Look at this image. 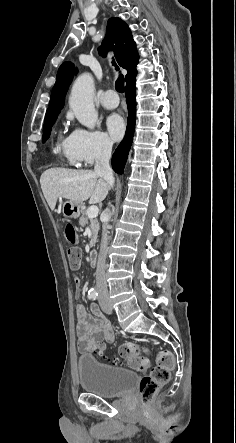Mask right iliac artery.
I'll list each match as a JSON object with an SVG mask.
<instances>
[{"label":"right iliac artery","instance_id":"1","mask_svg":"<svg viewBox=\"0 0 236 443\" xmlns=\"http://www.w3.org/2000/svg\"><path fill=\"white\" fill-rule=\"evenodd\" d=\"M97 297H98L97 290L94 289V288H91V289L88 291V298H89L90 300H96Z\"/></svg>","mask_w":236,"mask_h":443}]
</instances>
